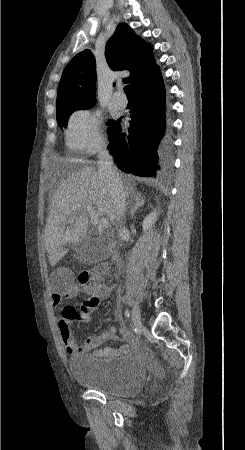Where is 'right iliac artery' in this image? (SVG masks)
<instances>
[{
	"label": "right iliac artery",
	"mask_w": 245,
	"mask_h": 450,
	"mask_svg": "<svg viewBox=\"0 0 245 450\" xmlns=\"http://www.w3.org/2000/svg\"><path fill=\"white\" fill-rule=\"evenodd\" d=\"M125 316H126L127 318H129V317H130V313H129V311H128V310H126V311H125Z\"/></svg>",
	"instance_id": "right-iliac-artery-1"
}]
</instances>
